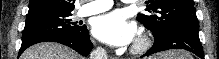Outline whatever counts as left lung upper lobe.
Wrapping results in <instances>:
<instances>
[{
  "instance_id": "5c2ea615",
  "label": "left lung upper lobe",
  "mask_w": 219,
  "mask_h": 59,
  "mask_svg": "<svg viewBox=\"0 0 219 59\" xmlns=\"http://www.w3.org/2000/svg\"><path fill=\"white\" fill-rule=\"evenodd\" d=\"M147 13L138 14L137 20L148 28L154 37L167 34L176 25L197 20L193 0H149Z\"/></svg>"
}]
</instances>
